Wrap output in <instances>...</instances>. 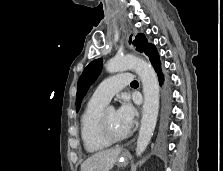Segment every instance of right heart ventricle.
Here are the masks:
<instances>
[{"mask_svg": "<svg viewBox=\"0 0 223 171\" xmlns=\"http://www.w3.org/2000/svg\"><path fill=\"white\" fill-rule=\"evenodd\" d=\"M106 103L91 98L80 118V136L84 149L88 153H98L109 144L98 133V119Z\"/></svg>", "mask_w": 223, "mask_h": 171, "instance_id": "right-heart-ventricle-1", "label": "right heart ventricle"}]
</instances>
